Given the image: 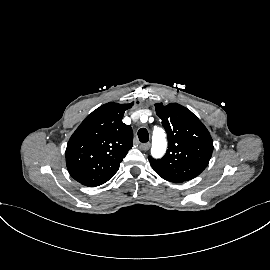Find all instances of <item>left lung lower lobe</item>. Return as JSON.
I'll use <instances>...</instances> for the list:
<instances>
[{
  "instance_id": "obj_1",
  "label": "left lung lower lobe",
  "mask_w": 270,
  "mask_h": 270,
  "mask_svg": "<svg viewBox=\"0 0 270 270\" xmlns=\"http://www.w3.org/2000/svg\"><path fill=\"white\" fill-rule=\"evenodd\" d=\"M163 179L167 180V181H170V182H176V183H181L183 182L182 180H179V179H175V178H172V177H167V176H163V175H160Z\"/></svg>"
}]
</instances>
